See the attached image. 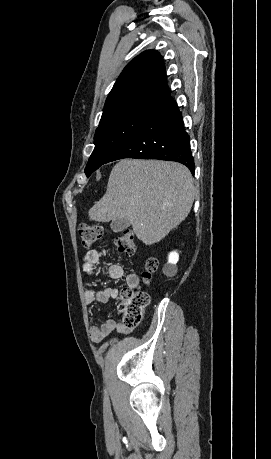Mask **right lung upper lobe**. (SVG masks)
<instances>
[{"mask_svg":"<svg viewBox=\"0 0 271 459\" xmlns=\"http://www.w3.org/2000/svg\"><path fill=\"white\" fill-rule=\"evenodd\" d=\"M173 102L162 57L147 50L124 68L107 97L102 117L133 109L159 113Z\"/></svg>","mask_w":271,"mask_h":459,"instance_id":"right-lung-upper-lobe-1","label":"right lung upper lobe"}]
</instances>
